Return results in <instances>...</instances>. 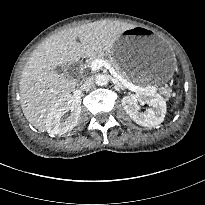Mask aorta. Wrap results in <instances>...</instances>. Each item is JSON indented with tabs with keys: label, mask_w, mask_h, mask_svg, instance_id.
I'll list each match as a JSON object with an SVG mask.
<instances>
[{
	"label": "aorta",
	"mask_w": 205,
	"mask_h": 205,
	"mask_svg": "<svg viewBox=\"0 0 205 205\" xmlns=\"http://www.w3.org/2000/svg\"><path fill=\"white\" fill-rule=\"evenodd\" d=\"M95 83L98 85V86H104L108 83V78L103 75V74H97L95 76Z\"/></svg>",
	"instance_id": "762f6f07"
}]
</instances>
